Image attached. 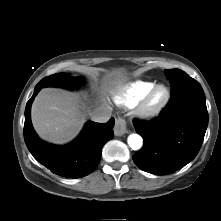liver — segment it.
<instances>
[{"label":"liver","instance_id":"6515ba94","mask_svg":"<svg viewBox=\"0 0 221 221\" xmlns=\"http://www.w3.org/2000/svg\"><path fill=\"white\" fill-rule=\"evenodd\" d=\"M124 79L123 72L114 71L108 75L104 87L110 90ZM31 119L40 138L54 144H64L79 133L85 114L75 95L55 88H45L32 104Z\"/></svg>","mask_w":221,"mask_h":221}]
</instances>
